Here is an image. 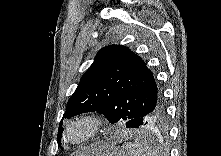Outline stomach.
I'll use <instances>...</instances> for the list:
<instances>
[{"instance_id":"0dacf381","label":"stomach","mask_w":221,"mask_h":156,"mask_svg":"<svg viewBox=\"0 0 221 156\" xmlns=\"http://www.w3.org/2000/svg\"><path fill=\"white\" fill-rule=\"evenodd\" d=\"M91 156H127L126 150L116 146H100Z\"/></svg>"}]
</instances>
